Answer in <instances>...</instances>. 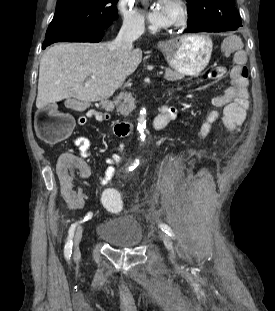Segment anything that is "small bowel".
<instances>
[{"label": "small bowel", "mask_w": 275, "mask_h": 311, "mask_svg": "<svg viewBox=\"0 0 275 311\" xmlns=\"http://www.w3.org/2000/svg\"><path fill=\"white\" fill-rule=\"evenodd\" d=\"M223 52L225 57H233L234 67L230 72L229 86L223 94L215 96L211 103L213 110L209 112L204 123L199 124L200 136L204 137L212 129V124L220 117L219 110L222 109V118H238L239 127L243 124L246 111L249 107L248 98V79L246 70L247 57L242 50L243 43L240 38L231 36L226 38L223 43ZM73 109L82 110L84 106L81 103H75ZM157 117L154 121L156 130L164 129L172 120L177 117V109L173 106L164 105L157 111ZM86 118H95L98 121H107L109 115L94 109L87 110L85 117L78 119L79 125L86 123ZM239 129V128H238ZM236 131V130H229ZM77 150H61V155H57L56 160L59 162L58 169H55V176L61 180L63 195L67 198L69 205L80 209L84 203V196L81 190L70 180H84L90 176V170L87 167V158L91 147V141L88 137L78 136L74 139ZM125 145L120 143L117 150L122 152ZM122 158L119 154H113L106 159L108 165L104 177L101 179L102 185H107L115 175L114 165L120 163ZM74 171V173H72Z\"/></svg>", "instance_id": "1"}]
</instances>
